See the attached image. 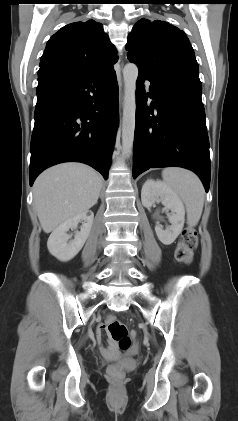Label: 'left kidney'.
I'll list each match as a JSON object with an SVG mask.
<instances>
[{
	"mask_svg": "<svg viewBox=\"0 0 238 421\" xmlns=\"http://www.w3.org/2000/svg\"><path fill=\"white\" fill-rule=\"evenodd\" d=\"M141 201L144 207L149 208L160 201L171 212L168 215L171 226L165 230L155 226L158 239L164 245L172 244L182 232L185 221V209L178 196L161 181L147 180L141 190Z\"/></svg>",
	"mask_w": 238,
	"mask_h": 421,
	"instance_id": "left-kidney-1",
	"label": "left kidney"
}]
</instances>
